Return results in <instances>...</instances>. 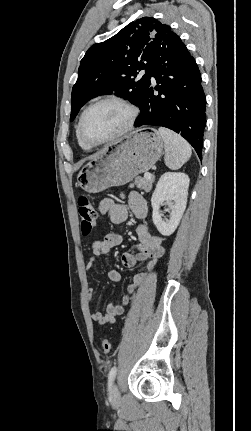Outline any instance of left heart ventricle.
<instances>
[{
    "instance_id": "b2bd125f",
    "label": "left heart ventricle",
    "mask_w": 251,
    "mask_h": 431,
    "mask_svg": "<svg viewBox=\"0 0 251 431\" xmlns=\"http://www.w3.org/2000/svg\"><path fill=\"white\" fill-rule=\"evenodd\" d=\"M128 111L116 103H103L86 115L83 131L91 142L102 141L118 132L127 122Z\"/></svg>"
}]
</instances>
